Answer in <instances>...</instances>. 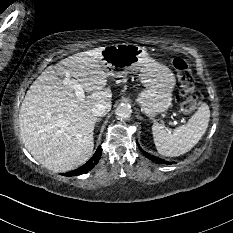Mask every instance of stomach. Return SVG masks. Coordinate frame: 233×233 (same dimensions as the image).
<instances>
[{"instance_id":"0dacf381","label":"stomach","mask_w":233,"mask_h":233,"mask_svg":"<svg viewBox=\"0 0 233 233\" xmlns=\"http://www.w3.org/2000/svg\"><path fill=\"white\" fill-rule=\"evenodd\" d=\"M101 64L113 78L140 72L139 79L145 89L137 101L147 116L164 113L171 106L175 76L166 65L151 58L144 47L132 43L106 46L101 53Z\"/></svg>"}]
</instances>
